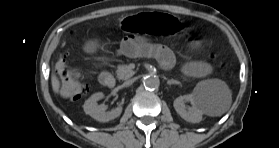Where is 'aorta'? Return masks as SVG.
Wrapping results in <instances>:
<instances>
[{
	"label": "aorta",
	"instance_id": "762f6f07",
	"mask_svg": "<svg viewBox=\"0 0 279 148\" xmlns=\"http://www.w3.org/2000/svg\"><path fill=\"white\" fill-rule=\"evenodd\" d=\"M144 86L149 90L158 89L160 86V80L157 76L149 75L144 79Z\"/></svg>",
	"mask_w": 279,
	"mask_h": 148
}]
</instances>
